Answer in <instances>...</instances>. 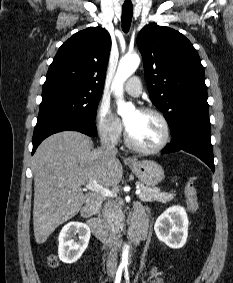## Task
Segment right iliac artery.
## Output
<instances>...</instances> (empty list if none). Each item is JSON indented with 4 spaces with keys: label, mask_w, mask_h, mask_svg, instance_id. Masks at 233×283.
Returning a JSON list of instances; mask_svg holds the SVG:
<instances>
[{
    "label": "right iliac artery",
    "mask_w": 233,
    "mask_h": 283,
    "mask_svg": "<svg viewBox=\"0 0 233 283\" xmlns=\"http://www.w3.org/2000/svg\"><path fill=\"white\" fill-rule=\"evenodd\" d=\"M122 271H123V266H119L117 272H116V278L114 283H120L121 282V277H122Z\"/></svg>",
    "instance_id": "obj_1"
}]
</instances>
